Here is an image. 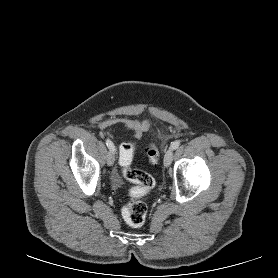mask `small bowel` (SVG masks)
Listing matches in <instances>:
<instances>
[{"label": "small bowel", "mask_w": 278, "mask_h": 278, "mask_svg": "<svg viewBox=\"0 0 278 278\" xmlns=\"http://www.w3.org/2000/svg\"><path fill=\"white\" fill-rule=\"evenodd\" d=\"M115 125H122L125 129L131 131L134 138L139 139L143 133L149 129L150 123L148 120H137L127 117H111L98 124L100 130L110 131ZM116 181H118L116 179Z\"/></svg>", "instance_id": "1"}]
</instances>
